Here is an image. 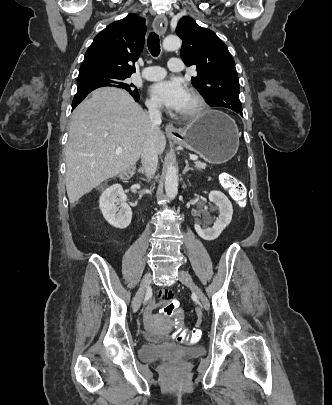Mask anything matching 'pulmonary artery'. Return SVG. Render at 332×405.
<instances>
[{
  "instance_id": "pulmonary-artery-1",
  "label": "pulmonary artery",
  "mask_w": 332,
  "mask_h": 405,
  "mask_svg": "<svg viewBox=\"0 0 332 405\" xmlns=\"http://www.w3.org/2000/svg\"><path fill=\"white\" fill-rule=\"evenodd\" d=\"M168 67L172 72H181L183 70V63L179 58H171L168 62ZM165 74V69L160 66H148L142 72V76L150 81L160 80Z\"/></svg>"
}]
</instances>
